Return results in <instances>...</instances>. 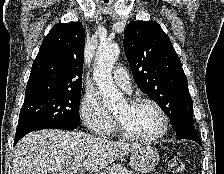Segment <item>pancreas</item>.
<instances>
[{"label": "pancreas", "mask_w": 224, "mask_h": 174, "mask_svg": "<svg viewBox=\"0 0 224 174\" xmlns=\"http://www.w3.org/2000/svg\"><path fill=\"white\" fill-rule=\"evenodd\" d=\"M99 174H134V172L128 170L122 164L116 163L110 167L105 168Z\"/></svg>", "instance_id": "1"}]
</instances>
